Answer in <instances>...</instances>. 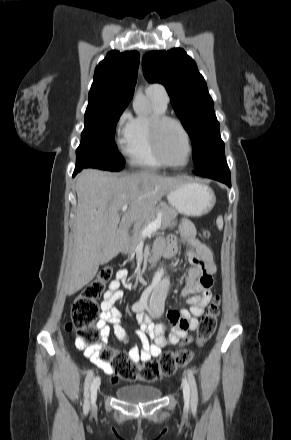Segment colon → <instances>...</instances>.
<instances>
[{
  "mask_svg": "<svg viewBox=\"0 0 291 440\" xmlns=\"http://www.w3.org/2000/svg\"><path fill=\"white\" fill-rule=\"evenodd\" d=\"M204 235L208 237V231H204ZM112 276L113 268L111 266L106 265L99 270L96 279L88 284L74 300L70 311V321L67 323L66 329L74 332L77 340L86 347L95 349L99 360L109 363L116 375L128 381L140 380L153 383L188 365L192 361L194 353L187 349L165 352L160 355L157 361L137 364L100 341L101 333L99 328L94 326V321L98 317L97 299L104 293L106 284L111 281ZM209 285L210 283H208ZM219 306L220 297L214 296L200 319L196 337V342L199 345L205 343L214 334L217 328ZM169 320L173 325L178 323L175 316H170ZM190 322L186 319L181 321L183 325H188Z\"/></svg>",
  "mask_w": 291,
  "mask_h": 440,
  "instance_id": "colon-1",
  "label": "colon"
}]
</instances>
